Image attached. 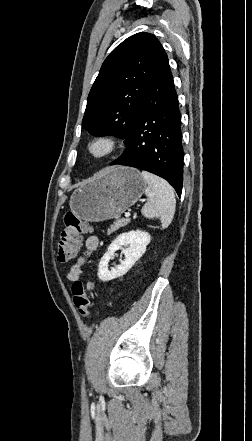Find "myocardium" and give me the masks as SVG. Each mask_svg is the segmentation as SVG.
Listing matches in <instances>:
<instances>
[{"instance_id": "obj_1", "label": "myocardium", "mask_w": 252, "mask_h": 441, "mask_svg": "<svg viewBox=\"0 0 252 441\" xmlns=\"http://www.w3.org/2000/svg\"><path fill=\"white\" fill-rule=\"evenodd\" d=\"M117 148L118 141L113 135L101 134L89 141L86 151L92 159L104 160L111 157L117 151Z\"/></svg>"}]
</instances>
